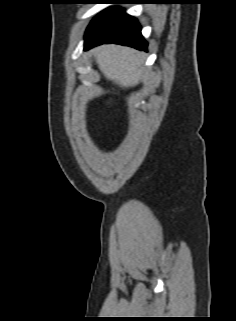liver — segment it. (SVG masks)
<instances>
[{
    "label": "liver",
    "instance_id": "1",
    "mask_svg": "<svg viewBox=\"0 0 236 321\" xmlns=\"http://www.w3.org/2000/svg\"><path fill=\"white\" fill-rule=\"evenodd\" d=\"M98 67L106 79L122 88L136 86L143 75L140 52L120 45H102L94 49Z\"/></svg>",
    "mask_w": 236,
    "mask_h": 321
}]
</instances>
